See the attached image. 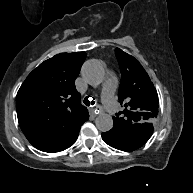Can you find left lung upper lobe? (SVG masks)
<instances>
[{"label":"left lung upper lobe","mask_w":193,"mask_h":193,"mask_svg":"<svg viewBox=\"0 0 193 193\" xmlns=\"http://www.w3.org/2000/svg\"><path fill=\"white\" fill-rule=\"evenodd\" d=\"M115 55L122 75L118 97L125 109L113 117L114 125H153L158 114V95L153 83L133 56L119 48Z\"/></svg>","instance_id":"1"}]
</instances>
